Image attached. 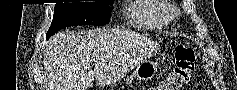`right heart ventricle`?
Instances as JSON below:
<instances>
[{
    "label": "right heart ventricle",
    "mask_w": 237,
    "mask_h": 90,
    "mask_svg": "<svg viewBox=\"0 0 237 90\" xmlns=\"http://www.w3.org/2000/svg\"><path fill=\"white\" fill-rule=\"evenodd\" d=\"M137 6L142 7H126L125 14H129L128 19L123 21H130L131 28L138 29H163L169 22L168 20L158 14H171L168 7L171 2H159V0H135Z\"/></svg>",
    "instance_id": "e07e8e85"
}]
</instances>
